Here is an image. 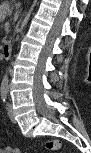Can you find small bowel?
Wrapping results in <instances>:
<instances>
[{
  "label": "small bowel",
  "mask_w": 91,
  "mask_h": 153,
  "mask_svg": "<svg viewBox=\"0 0 91 153\" xmlns=\"http://www.w3.org/2000/svg\"><path fill=\"white\" fill-rule=\"evenodd\" d=\"M2 151L5 152V153H16L17 149L16 148H11V147H4L2 149Z\"/></svg>",
  "instance_id": "c3829d8e"
}]
</instances>
